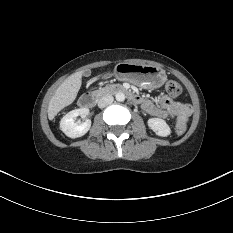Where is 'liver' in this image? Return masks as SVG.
Returning <instances> with one entry per match:
<instances>
[{"instance_id": "obj_1", "label": "liver", "mask_w": 233, "mask_h": 233, "mask_svg": "<svg viewBox=\"0 0 233 233\" xmlns=\"http://www.w3.org/2000/svg\"><path fill=\"white\" fill-rule=\"evenodd\" d=\"M83 72L70 75L55 91L49 101L48 118L53 120L55 116L66 106L73 103L80 90Z\"/></svg>"}]
</instances>
